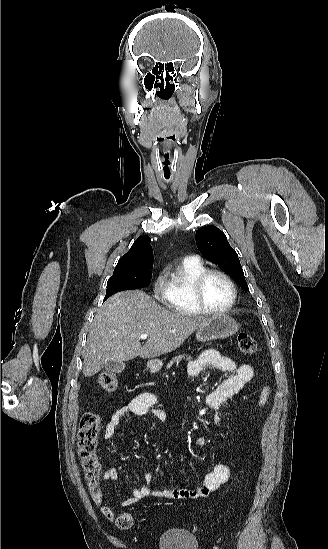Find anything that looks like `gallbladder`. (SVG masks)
<instances>
[{"label":"gallbladder","instance_id":"1","mask_svg":"<svg viewBox=\"0 0 328 549\" xmlns=\"http://www.w3.org/2000/svg\"><path fill=\"white\" fill-rule=\"evenodd\" d=\"M106 371L111 373H122L126 367V363H117V361H106L104 365Z\"/></svg>","mask_w":328,"mask_h":549}]
</instances>
